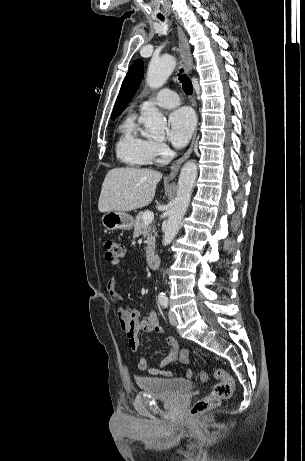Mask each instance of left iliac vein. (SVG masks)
Instances as JSON below:
<instances>
[{
  "mask_svg": "<svg viewBox=\"0 0 305 461\" xmlns=\"http://www.w3.org/2000/svg\"><path fill=\"white\" fill-rule=\"evenodd\" d=\"M169 322L172 326H176L177 325V318H176V315L173 311H169Z\"/></svg>",
  "mask_w": 305,
  "mask_h": 461,
  "instance_id": "left-iliac-vein-1",
  "label": "left iliac vein"
}]
</instances>
